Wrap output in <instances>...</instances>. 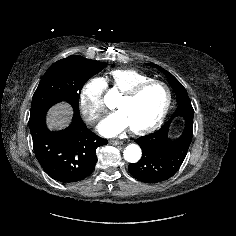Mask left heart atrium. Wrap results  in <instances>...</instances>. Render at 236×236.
I'll use <instances>...</instances> for the list:
<instances>
[{
  "label": "left heart atrium",
  "mask_w": 236,
  "mask_h": 236,
  "mask_svg": "<svg viewBox=\"0 0 236 236\" xmlns=\"http://www.w3.org/2000/svg\"><path fill=\"white\" fill-rule=\"evenodd\" d=\"M129 128V123L121 111L107 116L98 126V131L105 137H114Z\"/></svg>",
  "instance_id": "left-heart-atrium-1"
}]
</instances>
